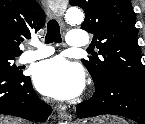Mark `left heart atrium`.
Masks as SVG:
<instances>
[{"label":"left heart atrium","instance_id":"obj_1","mask_svg":"<svg viewBox=\"0 0 145 124\" xmlns=\"http://www.w3.org/2000/svg\"><path fill=\"white\" fill-rule=\"evenodd\" d=\"M36 88L60 100L76 97L84 87V73L75 63L62 56L39 63L33 71Z\"/></svg>","mask_w":145,"mask_h":124}]
</instances>
